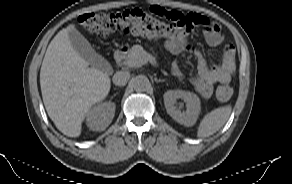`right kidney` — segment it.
Here are the masks:
<instances>
[{
    "mask_svg": "<svg viewBox=\"0 0 292 184\" xmlns=\"http://www.w3.org/2000/svg\"><path fill=\"white\" fill-rule=\"evenodd\" d=\"M113 102H103L92 107L86 115V124L90 130L103 131L110 123L115 114Z\"/></svg>",
    "mask_w": 292,
    "mask_h": 184,
    "instance_id": "ca27d5eb",
    "label": "right kidney"
}]
</instances>
